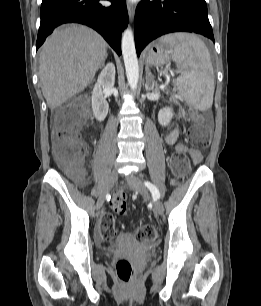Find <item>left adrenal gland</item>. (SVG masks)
I'll use <instances>...</instances> for the list:
<instances>
[{"instance_id": "left-adrenal-gland-1", "label": "left adrenal gland", "mask_w": 261, "mask_h": 306, "mask_svg": "<svg viewBox=\"0 0 261 306\" xmlns=\"http://www.w3.org/2000/svg\"><path fill=\"white\" fill-rule=\"evenodd\" d=\"M145 71H146V89H153L155 82H154V76L151 73L150 69L148 66L145 67Z\"/></svg>"}]
</instances>
